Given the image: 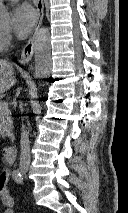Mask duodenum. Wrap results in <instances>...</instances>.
Masks as SVG:
<instances>
[{"instance_id": "410a0bca", "label": "duodenum", "mask_w": 128, "mask_h": 213, "mask_svg": "<svg viewBox=\"0 0 128 213\" xmlns=\"http://www.w3.org/2000/svg\"><path fill=\"white\" fill-rule=\"evenodd\" d=\"M17 154V145L16 143L7 146L2 151V157L5 163L10 164L15 160Z\"/></svg>"}]
</instances>
